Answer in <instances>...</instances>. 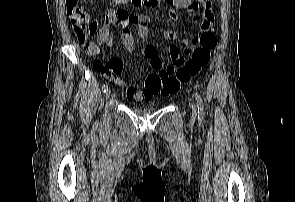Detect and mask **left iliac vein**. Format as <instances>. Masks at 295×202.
Listing matches in <instances>:
<instances>
[{
  "instance_id": "1",
  "label": "left iliac vein",
  "mask_w": 295,
  "mask_h": 202,
  "mask_svg": "<svg viewBox=\"0 0 295 202\" xmlns=\"http://www.w3.org/2000/svg\"><path fill=\"white\" fill-rule=\"evenodd\" d=\"M191 110H192V115L196 116V106L194 103H191Z\"/></svg>"
}]
</instances>
